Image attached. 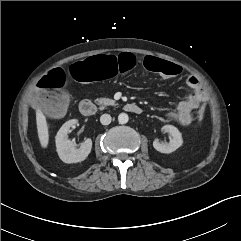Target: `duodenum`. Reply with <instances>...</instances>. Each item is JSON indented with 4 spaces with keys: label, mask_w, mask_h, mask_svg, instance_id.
Returning <instances> with one entry per match:
<instances>
[{
    "label": "duodenum",
    "mask_w": 241,
    "mask_h": 241,
    "mask_svg": "<svg viewBox=\"0 0 241 241\" xmlns=\"http://www.w3.org/2000/svg\"><path fill=\"white\" fill-rule=\"evenodd\" d=\"M125 109L126 111L134 114H140L142 112V109L134 103L126 104ZM79 111L83 116L90 117L97 112V106L91 100L85 99L80 102Z\"/></svg>",
    "instance_id": "duodenum-1"
}]
</instances>
